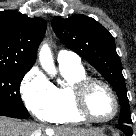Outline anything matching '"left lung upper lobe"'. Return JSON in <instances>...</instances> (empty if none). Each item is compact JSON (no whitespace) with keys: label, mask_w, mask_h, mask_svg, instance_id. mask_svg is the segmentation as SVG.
Masks as SVG:
<instances>
[{"label":"left lung upper lobe","mask_w":136,"mask_h":136,"mask_svg":"<svg viewBox=\"0 0 136 136\" xmlns=\"http://www.w3.org/2000/svg\"><path fill=\"white\" fill-rule=\"evenodd\" d=\"M52 27L69 49L87 60L111 84L121 105L119 124H130L125 79L113 36L96 20L80 14L67 19L54 17Z\"/></svg>","instance_id":"obj_1"}]
</instances>
